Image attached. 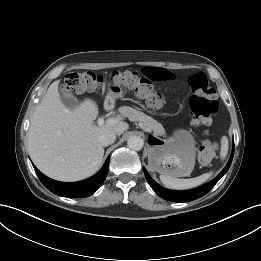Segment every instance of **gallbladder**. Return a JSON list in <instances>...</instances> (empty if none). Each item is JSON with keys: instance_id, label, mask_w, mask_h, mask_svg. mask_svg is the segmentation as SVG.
<instances>
[{"instance_id": "gallbladder-1", "label": "gallbladder", "mask_w": 261, "mask_h": 261, "mask_svg": "<svg viewBox=\"0 0 261 261\" xmlns=\"http://www.w3.org/2000/svg\"><path fill=\"white\" fill-rule=\"evenodd\" d=\"M61 101L69 110H74L79 106L77 98L72 93L67 91L62 92Z\"/></svg>"}]
</instances>
